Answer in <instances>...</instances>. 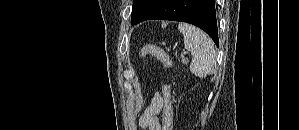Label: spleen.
I'll list each match as a JSON object with an SVG mask.
<instances>
[{
	"mask_svg": "<svg viewBox=\"0 0 299 130\" xmlns=\"http://www.w3.org/2000/svg\"><path fill=\"white\" fill-rule=\"evenodd\" d=\"M178 29L184 36L185 48L192 55L190 72L199 78L211 74L216 62L214 42L195 26L180 23Z\"/></svg>",
	"mask_w": 299,
	"mask_h": 130,
	"instance_id": "1",
	"label": "spleen"
}]
</instances>
